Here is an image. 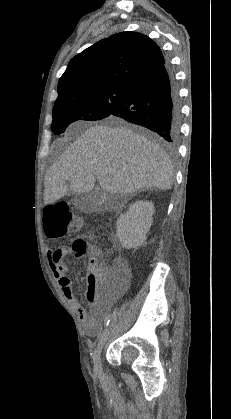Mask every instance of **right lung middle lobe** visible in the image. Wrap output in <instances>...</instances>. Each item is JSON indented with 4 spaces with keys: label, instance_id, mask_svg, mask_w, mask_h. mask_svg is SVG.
<instances>
[{
    "label": "right lung middle lobe",
    "instance_id": "right-lung-middle-lobe-1",
    "mask_svg": "<svg viewBox=\"0 0 231 419\" xmlns=\"http://www.w3.org/2000/svg\"><path fill=\"white\" fill-rule=\"evenodd\" d=\"M129 90L116 86L88 89L55 102L52 131L59 135L74 121H95L108 117L125 100Z\"/></svg>",
    "mask_w": 231,
    "mask_h": 419
}]
</instances>
